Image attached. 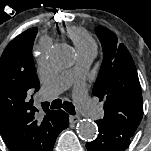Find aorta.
<instances>
[{
    "mask_svg": "<svg viewBox=\"0 0 151 151\" xmlns=\"http://www.w3.org/2000/svg\"><path fill=\"white\" fill-rule=\"evenodd\" d=\"M50 60L56 66L67 67L74 60V52L68 45H58L52 50ZM77 132L83 140L89 141L96 138L98 127L91 120H81L77 124Z\"/></svg>",
    "mask_w": 151,
    "mask_h": 151,
    "instance_id": "1",
    "label": "aorta"
}]
</instances>
